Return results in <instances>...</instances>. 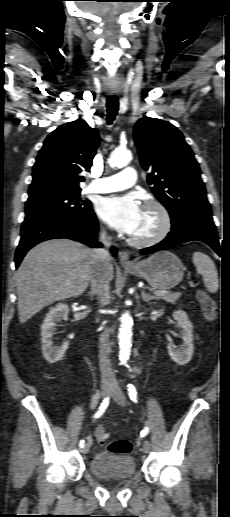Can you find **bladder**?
I'll list each match as a JSON object with an SVG mask.
<instances>
[{"instance_id": "obj_1", "label": "bladder", "mask_w": 230, "mask_h": 517, "mask_svg": "<svg viewBox=\"0 0 230 517\" xmlns=\"http://www.w3.org/2000/svg\"><path fill=\"white\" fill-rule=\"evenodd\" d=\"M89 470L99 478L114 480L132 477L136 472V466L128 454L100 452L92 458Z\"/></svg>"}]
</instances>
